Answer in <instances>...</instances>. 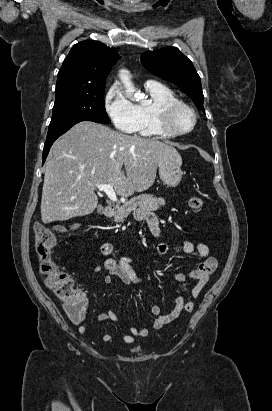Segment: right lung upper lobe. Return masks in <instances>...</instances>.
<instances>
[{"label": "right lung upper lobe", "mask_w": 272, "mask_h": 411, "mask_svg": "<svg viewBox=\"0 0 272 411\" xmlns=\"http://www.w3.org/2000/svg\"><path fill=\"white\" fill-rule=\"evenodd\" d=\"M119 58L114 48L98 41L75 44L58 72L56 92L105 84L107 75Z\"/></svg>", "instance_id": "right-lung-upper-lobe-1"}]
</instances>
